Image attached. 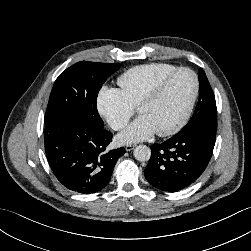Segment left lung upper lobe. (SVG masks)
Masks as SVG:
<instances>
[{
    "instance_id": "left-lung-upper-lobe-1",
    "label": "left lung upper lobe",
    "mask_w": 251,
    "mask_h": 251,
    "mask_svg": "<svg viewBox=\"0 0 251 251\" xmlns=\"http://www.w3.org/2000/svg\"><path fill=\"white\" fill-rule=\"evenodd\" d=\"M200 95L195 112L187 125L177 134H183L197 128L216 132L217 108L214 93L203 69H199Z\"/></svg>"
}]
</instances>
